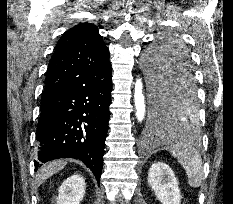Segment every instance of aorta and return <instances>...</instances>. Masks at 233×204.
Listing matches in <instances>:
<instances>
[{
    "mask_svg": "<svg viewBox=\"0 0 233 204\" xmlns=\"http://www.w3.org/2000/svg\"><path fill=\"white\" fill-rule=\"evenodd\" d=\"M134 102L136 109V117L139 122H142L146 113L145 97L143 95V84L141 79H137L134 88ZM165 107H163L164 109Z\"/></svg>",
    "mask_w": 233,
    "mask_h": 204,
    "instance_id": "762f6f07",
    "label": "aorta"
}]
</instances>
